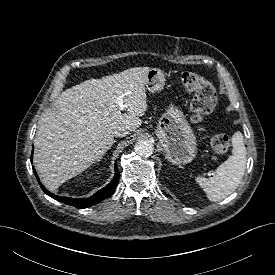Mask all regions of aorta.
I'll return each instance as SVG.
<instances>
[{"label": "aorta", "instance_id": "1", "mask_svg": "<svg viewBox=\"0 0 275 275\" xmlns=\"http://www.w3.org/2000/svg\"><path fill=\"white\" fill-rule=\"evenodd\" d=\"M135 152L141 157H148L153 153L154 145L149 140H139L135 144Z\"/></svg>", "mask_w": 275, "mask_h": 275}]
</instances>
